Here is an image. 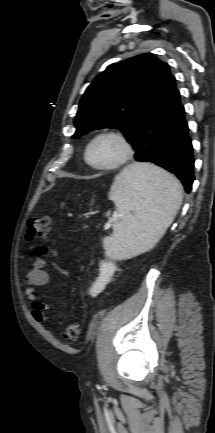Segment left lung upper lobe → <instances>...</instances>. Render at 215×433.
<instances>
[{"instance_id": "1", "label": "left lung upper lobe", "mask_w": 215, "mask_h": 433, "mask_svg": "<svg viewBox=\"0 0 215 433\" xmlns=\"http://www.w3.org/2000/svg\"><path fill=\"white\" fill-rule=\"evenodd\" d=\"M179 97L168 64L153 54L115 63L84 93L72 138L94 129L117 128L133 145L137 161L153 162Z\"/></svg>"}]
</instances>
